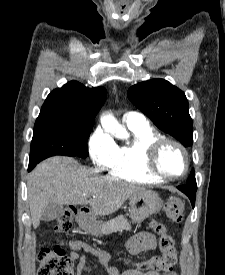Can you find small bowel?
<instances>
[{"instance_id":"small-bowel-1","label":"small bowel","mask_w":225,"mask_h":275,"mask_svg":"<svg viewBox=\"0 0 225 275\" xmlns=\"http://www.w3.org/2000/svg\"><path fill=\"white\" fill-rule=\"evenodd\" d=\"M129 252L133 255H139L146 251L157 248L156 237L150 232H141L135 235L127 244ZM80 251H83L80 254ZM69 256L73 261L77 262V275H83L89 269L88 259L94 257L104 267L108 275H162L157 271L141 272L131 269L121 274L107 265L108 256L103 251H100L91 245L81 240H71L69 242ZM163 275H179L176 271H168Z\"/></svg>"}]
</instances>
